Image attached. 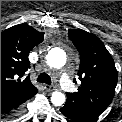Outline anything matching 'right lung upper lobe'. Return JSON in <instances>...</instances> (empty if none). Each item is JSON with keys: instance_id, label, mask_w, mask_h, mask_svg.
Returning <instances> with one entry per match:
<instances>
[{"instance_id": "obj_1", "label": "right lung upper lobe", "mask_w": 122, "mask_h": 122, "mask_svg": "<svg viewBox=\"0 0 122 122\" xmlns=\"http://www.w3.org/2000/svg\"><path fill=\"white\" fill-rule=\"evenodd\" d=\"M44 33L20 24L1 33V98L10 96L25 100L38 90L29 76L21 79L30 68L29 52L43 41Z\"/></svg>"}]
</instances>
